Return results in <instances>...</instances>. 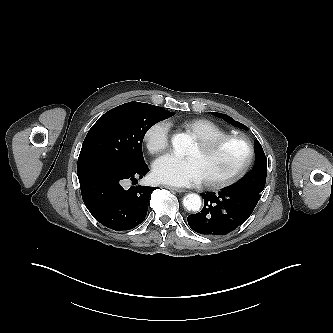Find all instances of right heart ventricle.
Segmentation results:
<instances>
[{
  "label": "right heart ventricle",
  "instance_id": "obj_1",
  "mask_svg": "<svg viewBox=\"0 0 333 333\" xmlns=\"http://www.w3.org/2000/svg\"><path fill=\"white\" fill-rule=\"evenodd\" d=\"M182 126L192 133L197 140H207L227 134L224 128L206 118L186 120L182 123Z\"/></svg>",
  "mask_w": 333,
  "mask_h": 333
}]
</instances>
